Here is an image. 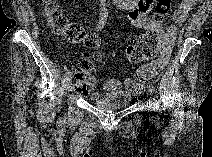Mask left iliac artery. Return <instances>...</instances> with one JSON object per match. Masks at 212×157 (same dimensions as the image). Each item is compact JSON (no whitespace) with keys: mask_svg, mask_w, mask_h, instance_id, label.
Wrapping results in <instances>:
<instances>
[{"mask_svg":"<svg viewBox=\"0 0 212 157\" xmlns=\"http://www.w3.org/2000/svg\"><path fill=\"white\" fill-rule=\"evenodd\" d=\"M149 91H150L152 94H154V95H156V94H157L156 89H155V88H153V87H149ZM157 103H158V102H157Z\"/></svg>","mask_w":212,"mask_h":157,"instance_id":"44dca946","label":"left iliac artery"}]
</instances>
